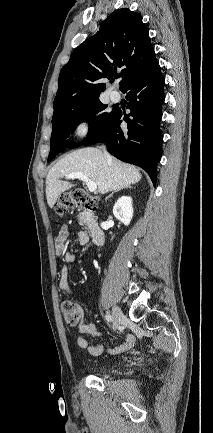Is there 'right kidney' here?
<instances>
[{
	"label": "right kidney",
	"instance_id": "obj_1",
	"mask_svg": "<svg viewBox=\"0 0 213 433\" xmlns=\"http://www.w3.org/2000/svg\"><path fill=\"white\" fill-rule=\"evenodd\" d=\"M113 214L124 225H129L133 216L132 198L129 196L119 198L113 207Z\"/></svg>",
	"mask_w": 213,
	"mask_h": 433
}]
</instances>
